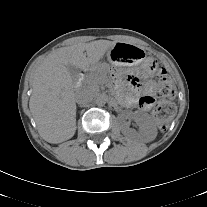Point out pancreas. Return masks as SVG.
<instances>
[{"mask_svg":"<svg viewBox=\"0 0 207 207\" xmlns=\"http://www.w3.org/2000/svg\"><path fill=\"white\" fill-rule=\"evenodd\" d=\"M107 67V64L97 67L94 72L88 76L87 81L84 84L85 87L92 91L98 90L99 84L106 80Z\"/></svg>","mask_w":207,"mask_h":207,"instance_id":"pancreas-1","label":"pancreas"}]
</instances>
